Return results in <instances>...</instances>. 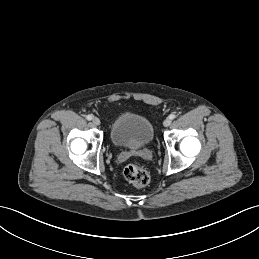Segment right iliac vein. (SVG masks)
Returning a JSON list of instances; mask_svg holds the SVG:
<instances>
[{"label":"right iliac vein","mask_w":259,"mask_h":259,"mask_svg":"<svg viewBox=\"0 0 259 259\" xmlns=\"http://www.w3.org/2000/svg\"><path fill=\"white\" fill-rule=\"evenodd\" d=\"M92 122L94 125L99 126L100 125V119L97 117H93Z\"/></svg>","instance_id":"right-iliac-vein-1"}]
</instances>
